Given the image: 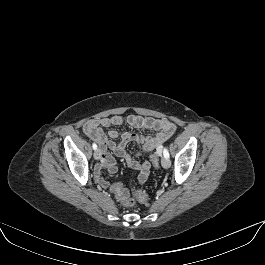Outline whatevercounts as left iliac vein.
Wrapping results in <instances>:
<instances>
[{
    "instance_id": "4c4485c4",
    "label": "left iliac vein",
    "mask_w": 265,
    "mask_h": 265,
    "mask_svg": "<svg viewBox=\"0 0 265 265\" xmlns=\"http://www.w3.org/2000/svg\"><path fill=\"white\" fill-rule=\"evenodd\" d=\"M161 164L164 168H169L171 163H170V160L166 157H163L162 160H161Z\"/></svg>"
}]
</instances>
